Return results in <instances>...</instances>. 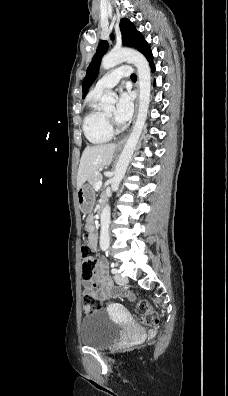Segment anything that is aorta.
<instances>
[{
    "instance_id": "762f6f07",
    "label": "aorta",
    "mask_w": 228,
    "mask_h": 396,
    "mask_svg": "<svg viewBox=\"0 0 228 396\" xmlns=\"http://www.w3.org/2000/svg\"><path fill=\"white\" fill-rule=\"evenodd\" d=\"M133 63L138 71L139 78V108L138 115L133 130L124 146L115 168L114 177L111 179V190L118 189L123 179L130 159L141 136L145 121L147 119L151 92V74L146 58L134 49L112 50L102 58L101 66L110 69L123 62ZM117 95L114 92L106 93L102 96L100 106L102 109L113 107L116 103ZM110 206L106 205L101 213L100 248L107 250L110 244L109 225H110Z\"/></svg>"
}]
</instances>
